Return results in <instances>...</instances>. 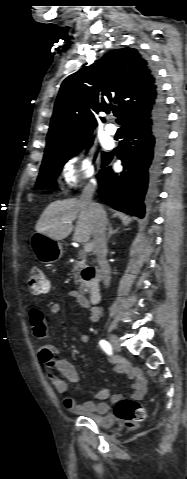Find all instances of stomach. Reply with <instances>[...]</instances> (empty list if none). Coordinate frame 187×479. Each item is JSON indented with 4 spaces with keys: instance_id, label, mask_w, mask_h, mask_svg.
Segmentation results:
<instances>
[{
    "instance_id": "1",
    "label": "stomach",
    "mask_w": 187,
    "mask_h": 479,
    "mask_svg": "<svg viewBox=\"0 0 187 479\" xmlns=\"http://www.w3.org/2000/svg\"><path fill=\"white\" fill-rule=\"evenodd\" d=\"M31 246L36 258L42 263H54L63 255V247L59 241L39 232L32 235Z\"/></svg>"
}]
</instances>
